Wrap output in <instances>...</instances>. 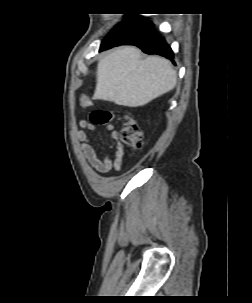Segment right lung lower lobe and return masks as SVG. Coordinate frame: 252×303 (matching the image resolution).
Masks as SVG:
<instances>
[{"mask_svg": "<svg viewBox=\"0 0 252 303\" xmlns=\"http://www.w3.org/2000/svg\"><path fill=\"white\" fill-rule=\"evenodd\" d=\"M119 45H135L146 54H158L173 61L170 46L143 17L130 16L116 25L102 41L100 50Z\"/></svg>", "mask_w": 252, "mask_h": 303, "instance_id": "98d812e1", "label": "right lung lower lobe"}]
</instances>
